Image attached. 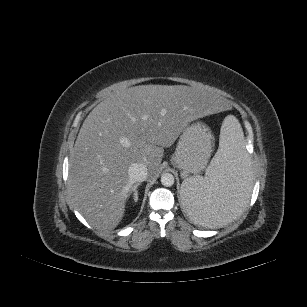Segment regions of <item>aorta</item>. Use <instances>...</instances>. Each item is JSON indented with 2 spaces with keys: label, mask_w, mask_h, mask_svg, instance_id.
I'll return each mask as SVG.
<instances>
[{
  "label": "aorta",
  "mask_w": 307,
  "mask_h": 307,
  "mask_svg": "<svg viewBox=\"0 0 307 307\" xmlns=\"http://www.w3.org/2000/svg\"><path fill=\"white\" fill-rule=\"evenodd\" d=\"M161 184L166 187H171L174 184V176L171 173H163L161 175Z\"/></svg>",
  "instance_id": "aorta-1"
}]
</instances>
